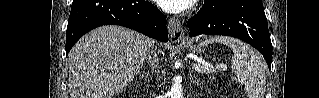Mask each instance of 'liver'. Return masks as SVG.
Returning <instances> with one entry per match:
<instances>
[{"instance_id":"6515ba94","label":"liver","mask_w":319,"mask_h":98,"mask_svg":"<svg viewBox=\"0 0 319 98\" xmlns=\"http://www.w3.org/2000/svg\"><path fill=\"white\" fill-rule=\"evenodd\" d=\"M154 42L121 26L83 36L68 55L70 98H112L140 72Z\"/></svg>"}]
</instances>
